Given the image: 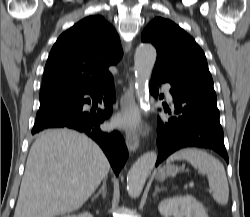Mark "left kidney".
<instances>
[{
    "label": "left kidney",
    "mask_w": 250,
    "mask_h": 217,
    "mask_svg": "<svg viewBox=\"0 0 250 217\" xmlns=\"http://www.w3.org/2000/svg\"><path fill=\"white\" fill-rule=\"evenodd\" d=\"M158 210L164 217H208L203 205L191 195L166 198Z\"/></svg>",
    "instance_id": "left-kidney-1"
}]
</instances>
